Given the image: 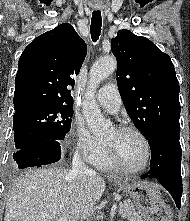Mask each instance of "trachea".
I'll list each match as a JSON object with an SVG mask.
<instances>
[{
    "mask_svg": "<svg viewBox=\"0 0 190 221\" xmlns=\"http://www.w3.org/2000/svg\"><path fill=\"white\" fill-rule=\"evenodd\" d=\"M101 26H102V18L100 11H93L92 19H91V26H90V33L91 38L94 42L99 39L101 33Z\"/></svg>",
    "mask_w": 190,
    "mask_h": 221,
    "instance_id": "trachea-1",
    "label": "trachea"
}]
</instances>
